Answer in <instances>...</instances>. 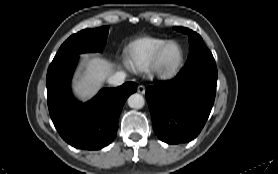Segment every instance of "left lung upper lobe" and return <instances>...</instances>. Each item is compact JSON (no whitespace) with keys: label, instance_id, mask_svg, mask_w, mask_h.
<instances>
[{"label":"left lung upper lobe","instance_id":"obj_1","mask_svg":"<svg viewBox=\"0 0 278 174\" xmlns=\"http://www.w3.org/2000/svg\"><path fill=\"white\" fill-rule=\"evenodd\" d=\"M174 29L183 32L189 36L190 54L187 64L182 69V72L198 68H204L209 71L217 72V67L213 55L204 44L201 36L188 28L175 27Z\"/></svg>","mask_w":278,"mask_h":174}]
</instances>
